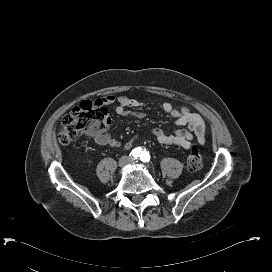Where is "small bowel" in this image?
Returning a JSON list of instances; mask_svg holds the SVG:
<instances>
[{
	"label": "small bowel",
	"instance_id": "1",
	"mask_svg": "<svg viewBox=\"0 0 272 272\" xmlns=\"http://www.w3.org/2000/svg\"><path fill=\"white\" fill-rule=\"evenodd\" d=\"M109 102L117 101L116 113L120 116H134L139 119H144L146 113L131 109H140L145 106V103L131 99L128 97H114L108 96ZM162 109L169 113L173 118L176 125H187L186 129L176 130L172 133H167L160 128L152 129V134L155 136L157 141L164 145L179 146L184 149H190L193 145V140L196 138L197 142L203 144L206 136V123L203 118L190 111L186 106L175 109L169 101H163L161 104ZM90 136L100 145H106L112 148H118L121 146V141L117 138L112 137L107 132H101L98 134H90ZM140 138L138 133L133 134L126 142V147L131 148Z\"/></svg>",
	"mask_w": 272,
	"mask_h": 272
}]
</instances>
